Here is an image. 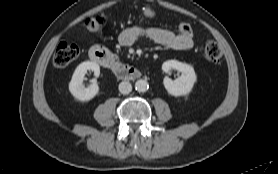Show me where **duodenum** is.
<instances>
[{
	"mask_svg": "<svg viewBox=\"0 0 278 174\" xmlns=\"http://www.w3.org/2000/svg\"><path fill=\"white\" fill-rule=\"evenodd\" d=\"M89 55L93 62L111 69L120 79L131 80L141 76L138 69L122 64L104 47L93 46L89 51Z\"/></svg>",
	"mask_w": 278,
	"mask_h": 174,
	"instance_id": "1",
	"label": "duodenum"
}]
</instances>
